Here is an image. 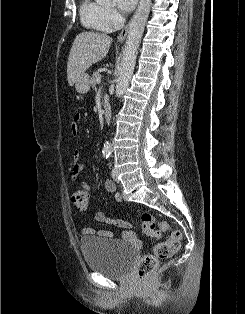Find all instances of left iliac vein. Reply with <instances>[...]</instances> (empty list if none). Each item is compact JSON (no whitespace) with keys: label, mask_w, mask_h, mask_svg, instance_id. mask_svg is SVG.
Segmentation results:
<instances>
[{"label":"left iliac vein","mask_w":245,"mask_h":314,"mask_svg":"<svg viewBox=\"0 0 245 314\" xmlns=\"http://www.w3.org/2000/svg\"><path fill=\"white\" fill-rule=\"evenodd\" d=\"M111 174H112L113 180H114L115 182L119 183V179H118V176H117V173H116L115 169H112Z\"/></svg>","instance_id":"1"}]
</instances>
